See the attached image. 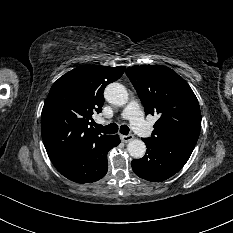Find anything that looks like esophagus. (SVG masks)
I'll list each match as a JSON object with an SVG mask.
<instances>
[{
  "mask_svg": "<svg viewBox=\"0 0 233 233\" xmlns=\"http://www.w3.org/2000/svg\"><path fill=\"white\" fill-rule=\"evenodd\" d=\"M121 139H122L123 142L128 143V142H130L131 140L134 139V136L131 135V134H129V135H121Z\"/></svg>",
  "mask_w": 233,
  "mask_h": 233,
  "instance_id": "1",
  "label": "esophagus"
}]
</instances>
